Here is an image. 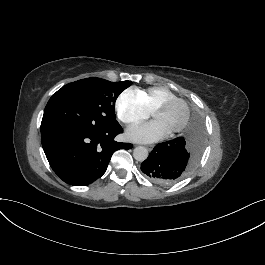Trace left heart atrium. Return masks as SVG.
<instances>
[{"instance_id":"left-heart-atrium-1","label":"left heart atrium","mask_w":265,"mask_h":265,"mask_svg":"<svg viewBox=\"0 0 265 265\" xmlns=\"http://www.w3.org/2000/svg\"><path fill=\"white\" fill-rule=\"evenodd\" d=\"M168 131L157 121L139 123L126 131V138L136 142H154L164 138Z\"/></svg>"}]
</instances>
